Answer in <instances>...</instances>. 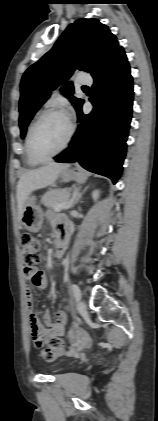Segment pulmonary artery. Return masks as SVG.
Segmentation results:
<instances>
[{
	"label": "pulmonary artery",
	"mask_w": 158,
	"mask_h": 421,
	"mask_svg": "<svg viewBox=\"0 0 158 421\" xmlns=\"http://www.w3.org/2000/svg\"><path fill=\"white\" fill-rule=\"evenodd\" d=\"M78 82L84 85H90L92 83V78L88 75H80L78 77Z\"/></svg>",
	"instance_id": "obj_1"
}]
</instances>
